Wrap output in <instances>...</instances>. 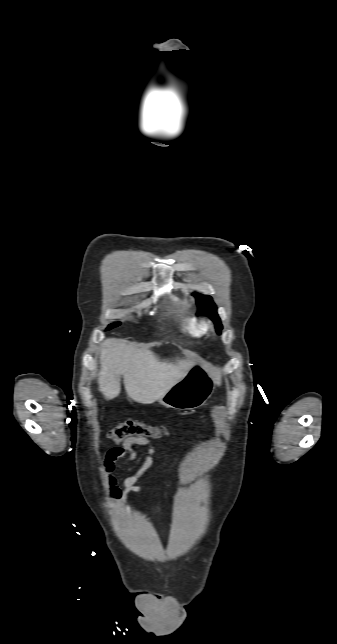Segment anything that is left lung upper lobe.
<instances>
[{
    "instance_id": "left-lung-upper-lobe-1",
    "label": "left lung upper lobe",
    "mask_w": 337,
    "mask_h": 644,
    "mask_svg": "<svg viewBox=\"0 0 337 644\" xmlns=\"http://www.w3.org/2000/svg\"><path fill=\"white\" fill-rule=\"evenodd\" d=\"M197 302L198 305L205 310L207 313L213 315V320L217 324V331H220L222 329V326L220 324L219 318L216 316V306L212 301V298L208 295L202 296L198 295L197 296Z\"/></svg>"
}]
</instances>
